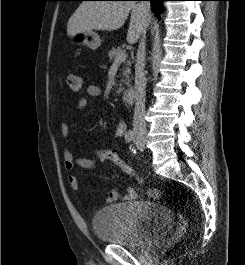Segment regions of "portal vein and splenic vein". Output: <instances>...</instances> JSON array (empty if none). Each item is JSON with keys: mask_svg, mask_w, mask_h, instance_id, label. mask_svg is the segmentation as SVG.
I'll use <instances>...</instances> for the list:
<instances>
[{"mask_svg": "<svg viewBox=\"0 0 245 265\" xmlns=\"http://www.w3.org/2000/svg\"><path fill=\"white\" fill-rule=\"evenodd\" d=\"M127 57V54L125 52L119 54L116 59H115V63H120L122 61H124Z\"/></svg>", "mask_w": 245, "mask_h": 265, "instance_id": "1", "label": "portal vein and splenic vein"}]
</instances>
